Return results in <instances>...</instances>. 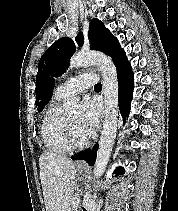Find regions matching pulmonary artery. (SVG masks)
Returning a JSON list of instances; mask_svg holds the SVG:
<instances>
[{"instance_id": "obj_1", "label": "pulmonary artery", "mask_w": 178, "mask_h": 211, "mask_svg": "<svg viewBox=\"0 0 178 211\" xmlns=\"http://www.w3.org/2000/svg\"><path fill=\"white\" fill-rule=\"evenodd\" d=\"M96 82L97 76L94 73L78 75L61 84L57 88L55 95L61 99H67L83 92L96 84Z\"/></svg>"}]
</instances>
